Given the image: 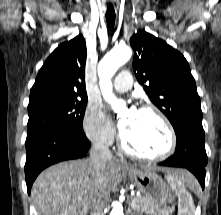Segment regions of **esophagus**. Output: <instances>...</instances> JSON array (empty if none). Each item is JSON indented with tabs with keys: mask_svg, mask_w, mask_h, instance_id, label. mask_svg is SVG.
Masks as SVG:
<instances>
[{
	"mask_svg": "<svg viewBox=\"0 0 221 215\" xmlns=\"http://www.w3.org/2000/svg\"><path fill=\"white\" fill-rule=\"evenodd\" d=\"M109 1H112V0H109ZM119 166L124 168V169H131L132 168L131 165L127 161H125L123 159L120 160Z\"/></svg>",
	"mask_w": 221,
	"mask_h": 215,
	"instance_id": "esophagus-1",
	"label": "esophagus"
}]
</instances>
